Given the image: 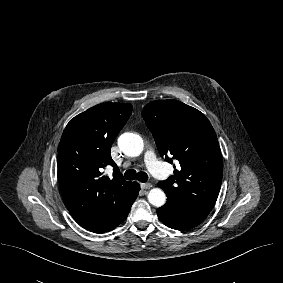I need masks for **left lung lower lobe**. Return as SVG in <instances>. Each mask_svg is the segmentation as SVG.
Here are the masks:
<instances>
[{
    "mask_svg": "<svg viewBox=\"0 0 283 283\" xmlns=\"http://www.w3.org/2000/svg\"><path fill=\"white\" fill-rule=\"evenodd\" d=\"M157 214L166 226L181 231L196 227L206 218V216L189 212L171 202H167L164 206L158 208Z\"/></svg>",
    "mask_w": 283,
    "mask_h": 283,
    "instance_id": "obj_1",
    "label": "left lung lower lobe"
}]
</instances>
